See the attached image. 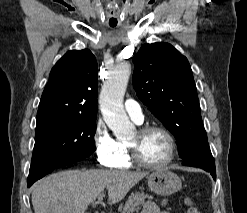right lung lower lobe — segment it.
<instances>
[{
	"mask_svg": "<svg viewBox=\"0 0 247 213\" xmlns=\"http://www.w3.org/2000/svg\"><path fill=\"white\" fill-rule=\"evenodd\" d=\"M62 167H63V166H62ZM55 168H56L55 166L51 167L48 173L52 172ZM48 173H47V174H48ZM38 179H40V178H30V177H28V180H27V185H28V187H30V186H31L35 181H37Z\"/></svg>",
	"mask_w": 247,
	"mask_h": 213,
	"instance_id": "right-lung-lower-lobe-1",
	"label": "right lung lower lobe"
}]
</instances>
